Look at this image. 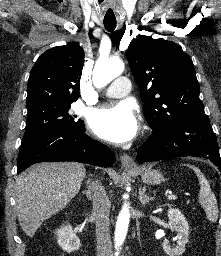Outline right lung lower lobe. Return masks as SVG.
Here are the masks:
<instances>
[{
    "label": "right lung lower lobe",
    "instance_id": "obj_1",
    "mask_svg": "<svg viewBox=\"0 0 221 256\" xmlns=\"http://www.w3.org/2000/svg\"><path fill=\"white\" fill-rule=\"evenodd\" d=\"M44 161H74L110 167L114 153L104 144L92 140L85 127L65 128L42 133L20 146L17 171Z\"/></svg>",
    "mask_w": 221,
    "mask_h": 256
}]
</instances>
